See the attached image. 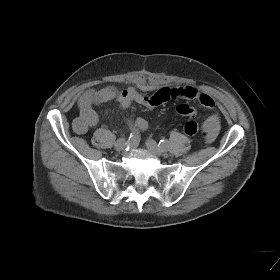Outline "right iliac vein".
<instances>
[{"label":"right iliac vein","instance_id":"1","mask_svg":"<svg viewBox=\"0 0 280 280\" xmlns=\"http://www.w3.org/2000/svg\"><path fill=\"white\" fill-rule=\"evenodd\" d=\"M126 146V141L124 138H120L115 143V150L116 151H122Z\"/></svg>","mask_w":280,"mask_h":280}]
</instances>
